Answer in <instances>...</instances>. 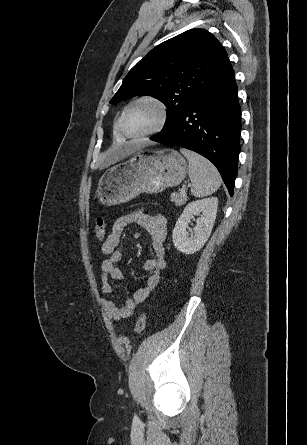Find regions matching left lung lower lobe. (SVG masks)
Listing matches in <instances>:
<instances>
[{
  "label": "left lung lower lobe",
  "mask_w": 307,
  "mask_h": 445,
  "mask_svg": "<svg viewBox=\"0 0 307 445\" xmlns=\"http://www.w3.org/2000/svg\"><path fill=\"white\" fill-rule=\"evenodd\" d=\"M241 109L232 67L197 99L168 129L150 137L177 145L209 159L233 196L240 150Z\"/></svg>",
  "instance_id": "1"
}]
</instances>
